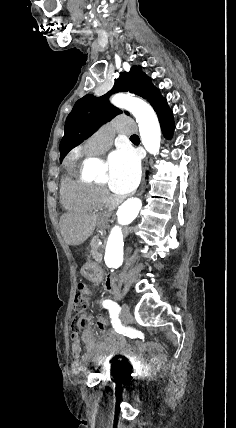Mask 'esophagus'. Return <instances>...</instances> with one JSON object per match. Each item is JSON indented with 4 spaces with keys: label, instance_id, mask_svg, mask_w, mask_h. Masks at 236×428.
<instances>
[{
    "label": "esophagus",
    "instance_id": "obj_1",
    "mask_svg": "<svg viewBox=\"0 0 236 428\" xmlns=\"http://www.w3.org/2000/svg\"><path fill=\"white\" fill-rule=\"evenodd\" d=\"M144 191H145V174L142 178V182H141V185L138 189L137 195H139V196L142 195L144 193Z\"/></svg>",
    "mask_w": 236,
    "mask_h": 428
}]
</instances>
